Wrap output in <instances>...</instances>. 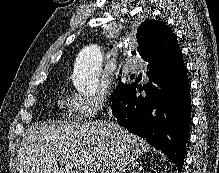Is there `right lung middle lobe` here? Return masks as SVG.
<instances>
[{
  "mask_svg": "<svg viewBox=\"0 0 219 173\" xmlns=\"http://www.w3.org/2000/svg\"><path fill=\"white\" fill-rule=\"evenodd\" d=\"M127 83H122L119 79V83L116 86V88L114 89V91L111 93V100L113 101L122 91L125 90V88L127 87Z\"/></svg>",
  "mask_w": 219,
  "mask_h": 173,
  "instance_id": "dd1d6c3e",
  "label": "right lung middle lobe"
}]
</instances>
